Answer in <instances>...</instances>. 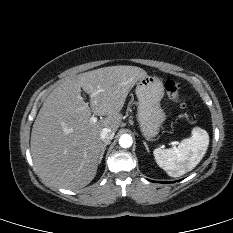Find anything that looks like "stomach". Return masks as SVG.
Returning a JSON list of instances; mask_svg holds the SVG:
<instances>
[{
  "instance_id": "obj_1",
  "label": "stomach",
  "mask_w": 233,
  "mask_h": 233,
  "mask_svg": "<svg viewBox=\"0 0 233 233\" xmlns=\"http://www.w3.org/2000/svg\"><path fill=\"white\" fill-rule=\"evenodd\" d=\"M135 93L138 98L137 119L140 131L149 140L159 134L166 118L160 104L164 86L157 77L147 75L137 82Z\"/></svg>"
}]
</instances>
